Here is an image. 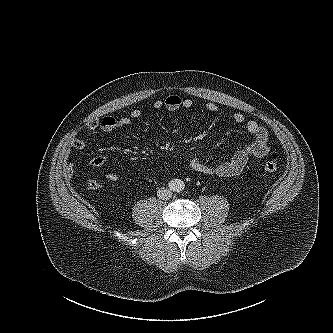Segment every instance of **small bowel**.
I'll return each instance as SVG.
<instances>
[{
    "mask_svg": "<svg viewBox=\"0 0 333 333\" xmlns=\"http://www.w3.org/2000/svg\"><path fill=\"white\" fill-rule=\"evenodd\" d=\"M193 105L191 99L182 98L179 95H170L163 100H156L153 107L157 110L165 108L170 112H175L180 109L189 110ZM205 108L211 113H216L219 110L218 106L212 102L207 103ZM141 115V110L134 109L129 116L94 118L87 123V133L91 136L99 132H111L120 127L132 124V122L140 118ZM232 119L235 123L245 127L247 132L253 137V141L237 149L228 160L217 164H209L200 157L192 158L189 163V168L193 172L200 175L232 177L243 171L250 158H263L269 153L268 131L263 124L255 120L246 119L241 112H234ZM71 146L74 149L81 150L87 146V141L81 138H75L72 140ZM90 164L97 168H103L106 165V160L103 157L96 156L91 159ZM64 171L68 176L73 175L75 171L74 164H66ZM106 178L109 181H116L118 176L114 172H108Z\"/></svg>",
    "mask_w": 333,
    "mask_h": 333,
    "instance_id": "1",
    "label": "small bowel"
}]
</instances>
